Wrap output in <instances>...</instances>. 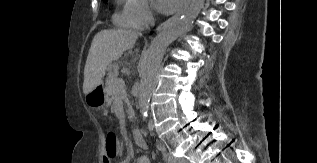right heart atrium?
I'll return each instance as SVG.
<instances>
[{"instance_id":"obj_1","label":"right heart atrium","mask_w":317,"mask_h":163,"mask_svg":"<svg viewBox=\"0 0 317 163\" xmlns=\"http://www.w3.org/2000/svg\"><path fill=\"white\" fill-rule=\"evenodd\" d=\"M134 14L137 22L141 26H146L153 20V11L147 0H136Z\"/></svg>"}]
</instances>
